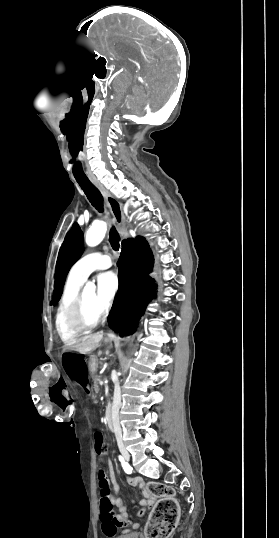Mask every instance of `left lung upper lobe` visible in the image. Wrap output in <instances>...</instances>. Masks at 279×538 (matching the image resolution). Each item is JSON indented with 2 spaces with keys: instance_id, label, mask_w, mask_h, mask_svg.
<instances>
[{
  "instance_id": "1",
  "label": "left lung upper lobe",
  "mask_w": 279,
  "mask_h": 538,
  "mask_svg": "<svg viewBox=\"0 0 279 538\" xmlns=\"http://www.w3.org/2000/svg\"><path fill=\"white\" fill-rule=\"evenodd\" d=\"M83 250V233L79 225L74 223L71 230L68 232L58 255L53 301L51 302V305H54L60 299L68 271L81 257Z\"/></svg>"
}]
</instances>
